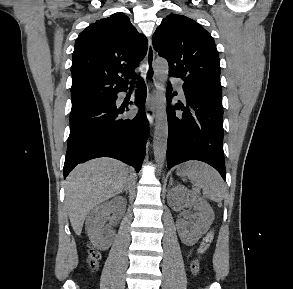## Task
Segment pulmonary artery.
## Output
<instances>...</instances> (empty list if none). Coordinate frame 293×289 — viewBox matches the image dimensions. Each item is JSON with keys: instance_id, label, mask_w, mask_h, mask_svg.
I'll list each match as a JSON object with an SVG mask.
<instances>
[{"instance_id": "pulmonary-artery-1", "label": "pulmonary artery", "mask_w": 293, "mask_h": 289, "mask_svg": "<svg viewBox=\"0 0 293 289\" xmlns=\"http://www.w3.org/2000/svg\"><path fill=\"white\" fill-rule=\"evenodd\" d=\"M173 83L176 85L178 92L183 96L184 92H183L181 80H173Z\"/></svg>"}]
</instances>
